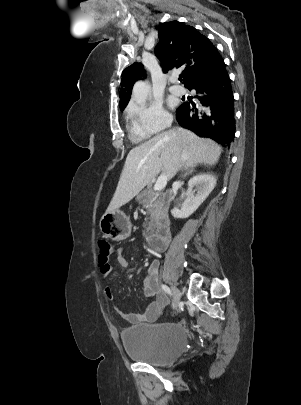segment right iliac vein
<instances>
[{"label":"right iliac vein","mask_w":301,"mask_h":405,"mask_svg":"<svg viewBox=\"0 0 301 405\" xmlns=\"http://www.w3.org/2000/svg\"><path fill=\"white\" fill-rule=\"evenodd\" d=\"M172 293H173V308L176 309L180 302L181 293L178 288L175 286H171Z\"/></svg>","instance_id":"1"}]
</instances>
